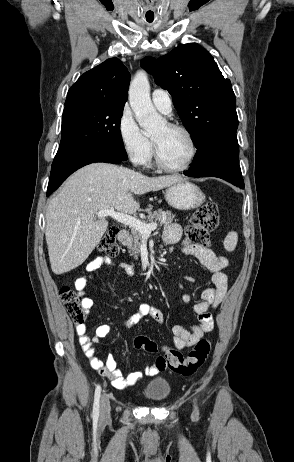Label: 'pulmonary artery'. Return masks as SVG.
Wrapping results in <instances>:
<instances>
[{
  "label": "pulmonary artery",
  "mask_w": 294,
  "mask_h": 462,
  "mask_svg": "<svg viewBox=\"0 0 294 462\" xmlns=\"http://www.w3.org/2000/svg\"><path fill=\"white\" fill-rule=\"evenodd\" d=\"M154 106L161 112L168 114L172 110V100L169 93L163 89H155L151 94Z\"/></svg>",
  "instance_id": "e3ab8cb5"
}]
</instances>
